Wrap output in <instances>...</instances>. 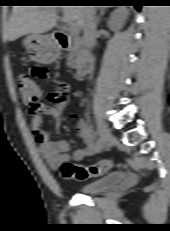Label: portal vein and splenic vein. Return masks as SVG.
I'll return each mask as SVG.
<instances>
[{"instance_id":"1","label":"portal vein and splenic vein","mask_w":170,"mask_h":231,"mask_svg":"<svg viewBox=\"0 0 170 231\" xmlns=\"http://www.w3.org/2000/svg\"><path fill=\"white\" fill-rule=\"evenodd\" d=\"M68 25V29L71 33L75 34V33H78L79 29H78V26L75 24V23H67Z\"/></svg>"}]
</instances>
